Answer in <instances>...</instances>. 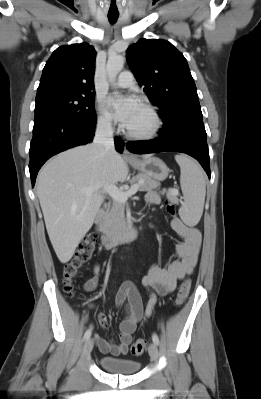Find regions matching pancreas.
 I'll return each mask as SVG.
<instances>
[{
    "label": "pancreas",
    "mask_w": 261,
    "mask_h": 399,
    "mask_svg": "<svg viewBox=\"0 0 261 399\" xmlns=\"http://www.w3.org/2000/svg\"><path fill=\"white\" fill-rule=\"evenodd\" d=\"M129 182L131 185H133L135 182H140L138 184L140 191H150L160 187L159 182L141 173L132 177ZM162 193H165V191H162ZM125 227L126 218L124 207L119 201L113 200L108 204L106 209L103 221V230L108 236H116L122 232Z\"/></svg>",
    "instance_id": "cf45deb5"
}]
</instances>
